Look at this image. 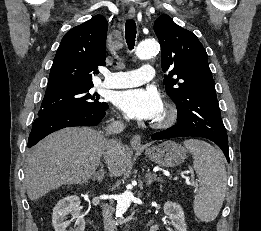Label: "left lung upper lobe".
I'll list each match as a JSON object with an SVG mask.
<instances>
[{"instance_id": "1", "label": "left lung upper lobe", "mask_w": 261, "mask_h": 231, "mask_svg": "<svg viewBox=\"0 0 261 231\" xmlns=\"http://www.w3.org/2000/svg\"><path fill=\"white\" fill-rule=\"evenodd\" d=\"M154 31L161 43L163 72H169L163 83L177 106V121L209 137L227 139L207 53L200 41L168 15L155 21Z\"/></svg>"}]
</instances>
